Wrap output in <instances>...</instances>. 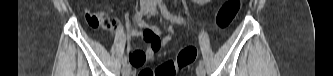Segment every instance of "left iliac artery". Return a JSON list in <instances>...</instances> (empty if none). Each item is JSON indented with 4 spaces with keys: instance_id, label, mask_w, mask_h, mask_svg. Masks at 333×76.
I'll use <instances>...</instances> for the list:
<instances>
[{
    "instance_id": "1",
    "label": "left iliac artery",
    "mask_w": 333,
    "mask_h": 76,
    "mask_svg": "<svg viewBox=\"0 0 333 76\" xmlns=\"http://www.w3.org/2000/svg\"><path fill=\"white\" fill-rule=\"evenodd\" d=\"M161 12L163 14V16L167 19H170L171 21H174V22H177L178 24H182L185 22L184 18L182 16H176V15H173L171 14L167 7L165 6V4H162L161 6ZM199 65H204V62L203 60H200L199 61Z\"/></svg>"
}]
</instances>
